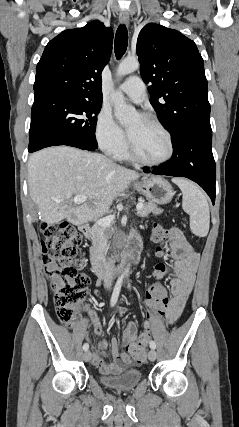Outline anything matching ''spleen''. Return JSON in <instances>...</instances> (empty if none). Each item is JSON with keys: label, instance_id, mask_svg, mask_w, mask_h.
<instances>
[{"label": "spleen", "instance_id": "1", "mask_svg": "<svg viewBox=\"0 0 239 427\" xmlns=\"http://www.w3.org/2000/svg\"><path fill=\"white\" fill-rule=\"evenodd\" d=\"M182 191V208L190 216V228L198 237H205L209 232L210 212L204 193L194 183L184 178H173Z\"/></svg>", "mask_w": 239, "mask_h": 427}]
</instances>
